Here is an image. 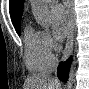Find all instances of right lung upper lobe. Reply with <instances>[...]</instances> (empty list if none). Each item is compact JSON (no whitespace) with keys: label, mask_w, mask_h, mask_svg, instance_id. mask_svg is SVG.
I'll return each instance as SVG.
<instances>
[{"label":"right lung upper lobe","mask_w":89,"mask_h":89,"mask_svg":"<svg viewBox=\"0 0 89 89\" xmlns=\"http://www.w3.org/2000/svg\"><path fill=\"white\" fill-rule=\"evenodd\" d=\"M24 0H10V15L16 30L21 29V16Z\"/></svg>","instance_id":"obj_1"}]
</instances>
